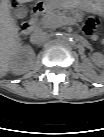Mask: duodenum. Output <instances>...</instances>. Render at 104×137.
Returning <instances> with one entry per match:
<instances>
[{
    "label": "duodenum",
    "mask_w": 104,
    "mask_h": 137,
    "mask_svg": "<svg viewBox=\"0 0 104 137\" xmlns=\"http://www.w3.org/2000/svg\"><path fill=\"white\" fill-rule=\"evenodd\" d=\"M46 11H48V7L43 4H38L33 8V10L31 11L30 19L22 24V31L25 35H28L32 32L35 18Z\"/></svg>",
    "instance_id": "duodenum-1"
}]
</instances>
